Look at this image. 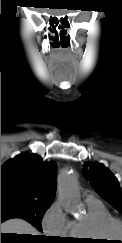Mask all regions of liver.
Wrapping results in <instances>:
<instances>
[{
	"mask_svg": "<svg viewBox=\"0 0 122 243\" xmlns=\"http://www.w3.org/2000/svg\"><path fill=\"white\" fill-rule=\"evenodd\" d=\"M1 233L40 235V233L28 222L14 218L1 224Z\"/></svg>",
	"mask_w": 122,
	"mask_h": 243,
	"instance_id": "1",
	"label": "liver"
}]
</instances>
